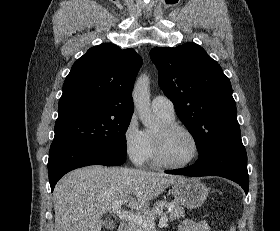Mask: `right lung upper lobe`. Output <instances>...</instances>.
Here are the masks:
<instances>
[{"label": "right lung upper lobe", "mask_w": 280, "mask_h": 231, "mask_svg": "<svg viewBox=\"0 0 280 231\" xmlns=\"http://www.w3.org/2000/svg\"><path fill=\"white\" fill-rule=\"evenodd\" d=\"M142 64L134 49L105 43L72 66L59 100L58 119L133 114L132 89Z\"/></svg>", "instance_id": "1"}]
</instances>
